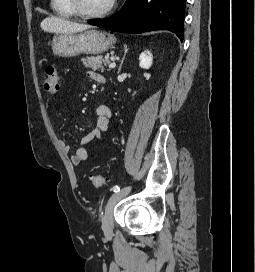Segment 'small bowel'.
Returning a JSON list of instances; mask_svg holds the SVG:
<instances>
[{"label":"small bowel","instance_id":"small-bowel-1","mask_svg":"<svg viewBox=\"0 0 255 272\" xmlns=\"http://www.w3.org/2000/svg\"><path fill=\"white\" fill-rule=\"evenodd\" d=\"M88 77L97 83H104L105 78L102 74L96 71H89ZM96 126L90 132L85 134L79 142L75 152L70 155V161L74 165H79L85 162L88 158V153L85 148L86 145L95 142L99 143L103 140L105 134L110 128V122L113 118V111L108 105H99L96 109ZM60 146L63 151L69 152L70 145L65 140H60Z\"/></svg>","mask_w":255,"mask_h":272}]
</instances>
